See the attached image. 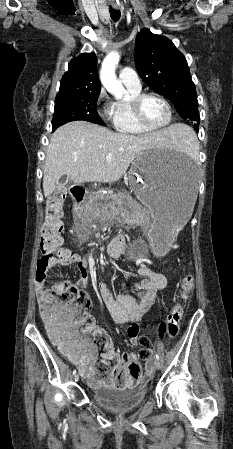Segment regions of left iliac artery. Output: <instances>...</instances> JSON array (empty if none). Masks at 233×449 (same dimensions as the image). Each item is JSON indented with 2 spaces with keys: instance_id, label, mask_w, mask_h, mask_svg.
I'll return each mask as SVG.
<instances>
[{
  "instance_id": "1",
  "label": "left iliac artery",
  "mask_w": 233,
  "mask_h": 449,
  "mask_svg": "<svg viewBox=\"0 0 233 449\" xmlns=\"http://www.w3.org/2000/svg\"><path fill=\"white\" fill-rule=\"evenodd\" d=\"M155 358L157 359V360H160V356L156 353L155 354Z\"/></svg>"
}]
</instances>
